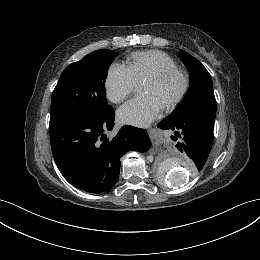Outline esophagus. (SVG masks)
I'll use <instances>...</instances> for the list:
<instances>
[{
	"mask_svg": "<svg viewBox=\"0 0 260 260\" xmlns=\"http://www.w3.org/2000/svg\"><path fill=\"white\" fill-rule=\"evenodd\" d=\"M160 132V129L155 126V127H151L148 129V134H149V137L153 140L157 137V135L159 134Z\"/></svg>",
	"mask_w": 260,
	"mask_h": 260,
	"instance_id": "34e87169",
	"label": "esophagus"
}]
</instances>
